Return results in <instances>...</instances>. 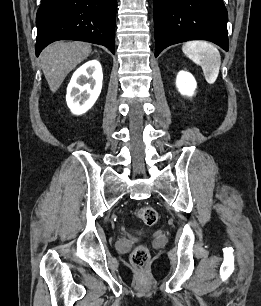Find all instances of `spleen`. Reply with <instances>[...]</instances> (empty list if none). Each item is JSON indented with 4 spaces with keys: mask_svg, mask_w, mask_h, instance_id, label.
Wrapping results in <instances>:
<instances>
[{
    "mask_svg": "<svg viewBox=\"0 0 261 306\" xmlns=\"http://www.w3.org/2000/svg\"><path fill=\"white\" fill-rule=\"evenodd\" d=\"M184 54L201 66L209 84H214L220 70L221 56L218 49L206 41H189L182 46Z\"/></svg>",
    "mask_w": 261,
    "mask_h": 306,
    "instance_id": "3e777b00",
    "label": "spleen"
}]
</instances>
